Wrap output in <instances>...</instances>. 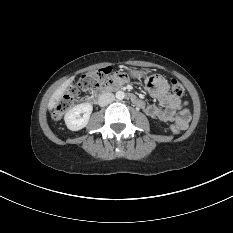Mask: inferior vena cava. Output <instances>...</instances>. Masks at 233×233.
<instances>
[{"mask_svg": "<svg viewBox=\"0 0 233 233\" xmlns=\"http://www.w3.org/2000/svg\"><path fill=\"white\" fill-rule=\"evenodd\" d=\"M115 100V96L113 93H103L100 95L98 99L99 106L103 107Z\"/></svg>", "mask_w": 233, "mask_h": 233, "instance_id": "obj_1", "label": "inferior vena cava"}]
</instances>
